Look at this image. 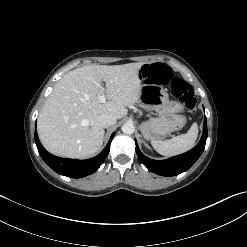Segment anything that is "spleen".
<instances>
[{"label": "spleen", "mask_w": 247, "mask_h": 247, "mask_svg": "<svg viewBox=\"0 0 247 247\" xmlns=\"http://www.w3.org/2000/svg\"><path fill=\"white\" fill-rule=\"evenodd\" d=\"M198 136V125L192 124L187 133L178 135L170 140L153 139L151 144L153 148L161 155L174 156L182 154L193 148Z\"/></svg>", "instance_id": "3e777b00"}]
</instances>
